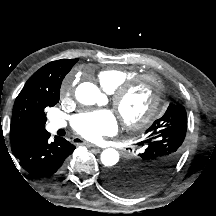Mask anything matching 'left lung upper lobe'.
Returning a JSON list of instances; mask_svg holds the SVG:
<instances>
[{
	"label": "left lung upper lobe",
	"instance_id": "1",
	"mask_svg": "<svg viewBox=\"0 0 216 216\" xmlns=\"http://www.w3.org/2000/svg\"><path fill=\"white\" fill-rule=\"evenodd\" d=\"M186 132L185 108L169 104L165 114L146 130L145 137L137 143L138 155L126 161L128 172L114 182L115 185L127 196H136L159 184L180 159Z\"/></svg>",
	"mask_w": 216,
	"mask_h": 216
}]
</instances>
